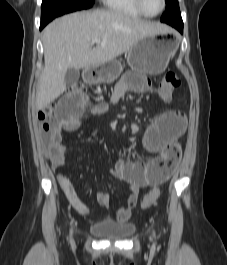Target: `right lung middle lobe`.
<instances>
[{"mask_svg":"<svg viewBox=\"0 0 227 265\" xmlns=\"http://www.w3.org/2000/svg\"><path fill=\"white\" fill-rule=\"evenodd\" d=\"M94 0H43L41 5V25L45 26L55 17L76 10L92 7Z\"/></svg>","mask_w":227,"mask_h":265,"instance_id":"obj_1","label":"right lung middle lobe"}]
</instances>
